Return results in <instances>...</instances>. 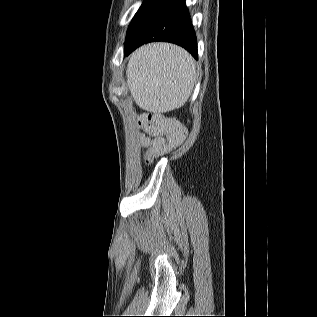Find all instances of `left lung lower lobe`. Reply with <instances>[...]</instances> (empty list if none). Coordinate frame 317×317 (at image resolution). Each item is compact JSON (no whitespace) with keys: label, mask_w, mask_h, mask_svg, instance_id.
<instances>
[{"label":"left lung lower lobe","mask_w":317,"mask_h":317,"mask_svg":"<svg viewBox=\"0 0 317 317\" xmlns=\"http://www.w3.org/2000/svg\"><path fill=\"white\" fill-rule=\"evenodd\" d=\"M155 41L182 46L195 59H198L196 35L189 19L185 0H167L139 32L125 43V55H129L146 43Z\"/></svg>","instance_id":"obj_1"}]
</instances>
